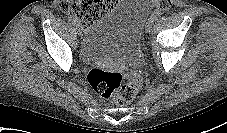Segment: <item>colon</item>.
<instances>
[{"mask_svg":"<svg viewBox=\"0 0 227 133\" xmlns=\"http://www.w3.org/2000/svg\"><path fill=\"white\" fill-rule=\"evenodd\" d=\"M118 0H61L60 9L71 13L84 26H90L102 15L113 8ZM160 9H168L171 0H156ZM91 87L103 98H110L116 104L123 106L130 103L142 87L143 80L140 73L130 70L125 74L117 71H106L99 68L92 69L88 74Z\"/></svg>","mask_w":227,"mask_h":133,"instance_id":"5ec220e1","label":"colon"}]
</instances>
